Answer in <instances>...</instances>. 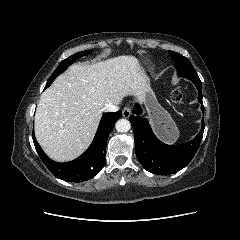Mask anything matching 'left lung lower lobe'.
I'll return each instance as SVG.
<instances>
[{
    "label": "left lung lower lobe",
    "mask_w": 240,
    "mask_h": 240,
    "mask_svg": "<svg viewBox=\"0 0 240 240\" xmlns=\"http://www.w3.org/2000/svg\"><path fill=\"white\" fill-rule=\"evenodd\" d=\"M191 80L198 90V99L204 111L199 78ZM141 107L136 104L129 120L134 130L135 153L141 165L157 175L172 174L185 167L196 154L204 132V119L200 133L190 142L181 145H167L159 141L153 134L148 120L140 117Z\"/></svg>",
    "instance_id": "1"
}]
</instances>
